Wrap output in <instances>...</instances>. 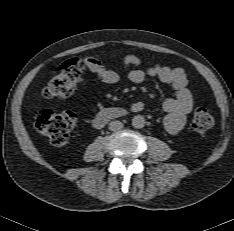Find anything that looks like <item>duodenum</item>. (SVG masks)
<instances>
[{
  "label": "duodenum",
  "instance_id": "duodenum-1",
  "mask_svg": "<svg viewBox=\"0 0 234 231\" xmlns=\"http://www.w3.org/2000/svg\"><path fill=\"white\" fill-rule=\"evenodd\" d=\"M127 114L126 109L124 108H119V107H110V108H105L101 111H99L95 116H94V124L96 126H102L106 122L121 118Z\"/></svg>",
  "mask_w": 234,
  "mask_h": 231
}]
</instances>
